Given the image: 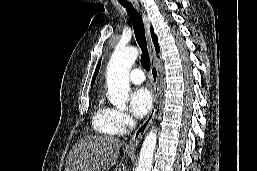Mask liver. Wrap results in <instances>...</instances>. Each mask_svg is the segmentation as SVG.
<instances>
[{"label":"liver","instance_id":"obj_1","mask_svg":"<svg viewBox=\"0 0 257 171\" xmlns=\"http://www.w3.org/2000/svg\"><path fill=\"white\" fill-rule=\"evenodd\" d=\"M122 145L113 136H86L71 149L65 171H108L116 164Z\"/></svg>","mask_w":257,"mask_h":171}]
</instances>
